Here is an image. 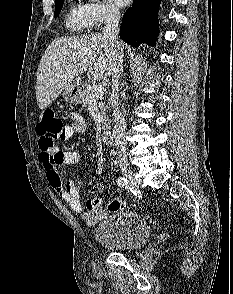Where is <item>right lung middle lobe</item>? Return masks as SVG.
I'll use <instances>...</instances> for the list:
<instances>
[{"mask_svg": "<svg viewBox=\"0 0 233 294\" xmlns=\"http://www.w3.org/2000/svg\"><path fill=\"white\" fill-rule=\"evenodd\" d=\"M63 3H64V0H55V12H54L55 18L59 15V13L63 7Z\"/></svg>", "mask_w": 233, "mask_h": 294, "instance_id": "dd1d6c3e", "label": "right lung middle lobe"}]
</instances>
